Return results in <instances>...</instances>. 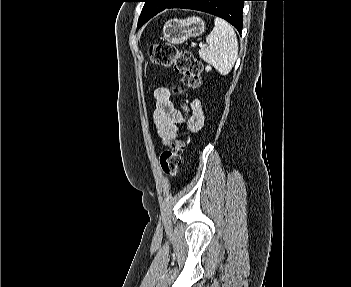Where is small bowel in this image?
<instances>
[{
    "label": "small bowel",
    "mask_w": 351,
    "mask_h": 287,
    "mask_svg": "<svg viewBox=\"0 0 351 287\" xmlns=\"http://www.w3.org/2000/svg\"><path fill=\"white\" fill-rule=\"evenodd\" d=\"M154 99L156 109L153 120L164 144L168 145L175 139L181 123L185 122L191 131H197L202 127L204 113L198 100H194L190 105H185L183 110H179L172 104L170 92L165 87L155 90Z\"/></svg>",
    "instance_id": "obj_1"
}]
</instances>
